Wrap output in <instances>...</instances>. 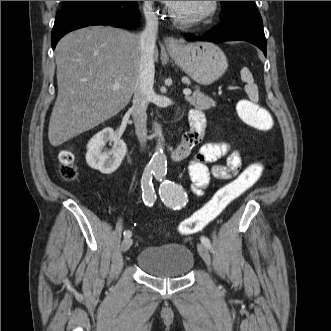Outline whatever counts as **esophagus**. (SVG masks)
I'll list each match as a JSON object with an SVG mask.
<instances>
[{"mask_svg": "<svg viewBox=\"0 0 331 331\" xmlns=\"http://www.w3.org/2000/svg\"><path fill=\"white\" fill-rule=\"evenodd\" d=\"M164 42L166 47L171 51H174L179 46V42L173 37H166Z\"/></svg>", "mask_w": 331, "mask_h": 331, "instance_id": "34e87169", "label": "esophagus"}]
</instances>
